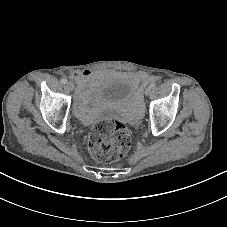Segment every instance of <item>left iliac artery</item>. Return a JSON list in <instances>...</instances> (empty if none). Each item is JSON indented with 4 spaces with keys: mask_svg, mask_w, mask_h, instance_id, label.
<instances>
[{
    "mask_svg": "<svg viewBox=\"0 0 227 227\" xmlns=\"http://www.w3.org/2000/svg\"><path fill=\"white\" fill-rule=\"evenodd\" d=\"M156 86V83L155 82H152L151 84H150V87L151 88H154Z\"/></svg>",
    "mask_w": 227,
    "mask_h": 227,
    "instance_id": "obj_1",
    "label": "left iliac artery"
}]
</instances>
